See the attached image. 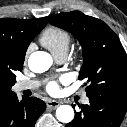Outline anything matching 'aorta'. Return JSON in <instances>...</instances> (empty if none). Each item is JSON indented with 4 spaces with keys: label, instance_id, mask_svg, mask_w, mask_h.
Segmentation results:
<instances>
[{
    "label": "aorta",
    "instance_id": "aorta-1",
    "mask_svg": "<svg viewBox=\"0 0 127 127\" xmlns=\"http://www.w3.org/2000/svg\"><path fill=\"white\" fill-rule=\"evenodd\" d=\"M52 63L51 55L44 51L33 52L28 59L29 69L34 73L47 71ZM56 117L62 123H69L74 118V110L69 105H61L56 110Z\"/></svg>",
    "mask_w": 127,
    "mask_h": 127
}]
</instances>
